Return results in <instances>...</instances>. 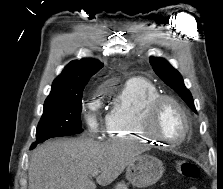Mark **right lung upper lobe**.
Returning <instances> with one entry per match:
<instances>
[{
	"mask_svg": "<svg viewBox=\"0 0 223 189\" xmlns=\"http://www.w3.org/2000/svg\"><path fill=\"white\" fill-rule=\"evenodd\" d=\"M103 66V63L93 59L71 61L54 80L50 95H70L83 90Z\"/></svg>",
	"mask_w": 223,
	"mask_h": 189,
	"instance_id": "cb5924a9",
	"label": "right lung upper lobe"
}]
</instances>
